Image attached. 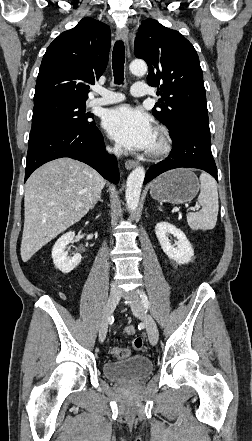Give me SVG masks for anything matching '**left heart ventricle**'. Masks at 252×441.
<instances>
[{
  "instance_id": "obj_1",
  "label": "left heart ventricle",
  "mask_w": 252,
  "mask_h": 441,
  "mask_svg": "<svg viewBox=\"0 0 252 441\" xmlns=\"http://www.w3.org/2000/svg\"><path fill=\"white\" fill-rule=\"evenodd\" d=\"M155 146H156V139H155V142H154V144H153L152 148H154Z\"/></svg>"
}]
</instances>
